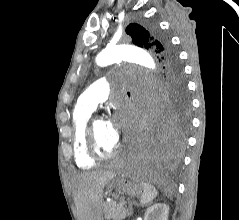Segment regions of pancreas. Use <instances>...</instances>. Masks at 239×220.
I'll return each instance as SVG.
<instances>
[{
	"label": "pancreas",
	"mask_w": 239,
	"mask_h": 220,
	"mask_svg": "<svg viewBox=\"0 0 239 220\" xmlns=\"http://www.w3.org/2000/svg\"><path fill=\"white\" fill-rule=\"evenodd\" d=\"M104 215L107 220H123L129 215V213L123 204L121 205V203L111 201L105 204Z\"/></svg>",
	"instance_id": "obj_1"
}]
</instances>
